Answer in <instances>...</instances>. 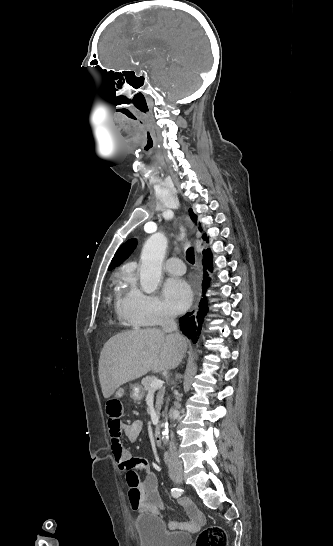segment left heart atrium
<instances>
[{"mask_svg":"<svg viewBox=\"0 0 333 546\" xmlns=\"http://www.w3.org/2000/svg\"><path fill=\"white\" fill-rule=\"evenodd\" d=\"M163 296L171 312L180 313L190 305L192 291L185 280L170 278L164 284Z\"/></svg>","mask_w":333,"mask_h":546,"instance_id":"left-heart-atrium-1","label":"left heart atrium"}]
</instances>
